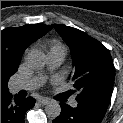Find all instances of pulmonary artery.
Here are the masks:
<instances>
[{
    "label": "pulmonary artery",
    "instance_id": "obj_1",
    "mask_svg": "<svg viewBox=\"0 0 123 123\" xmlns=\"http://www.w3.org/2000/svg\"><path fill=\"white\" fill-rule=\"evenodd\" d=\"M66 57L65 47H54L48 52V67L53 70L60 66ZM45 81L44 76H34L28 79H22L14 82L11 86L13 92H18L20 90H34L39 88ZM71 106L76 107L77 101L72 100Z\"/></svg>",
    "mask_w": 123,
    "mask_h": 123
}]
</instances>
